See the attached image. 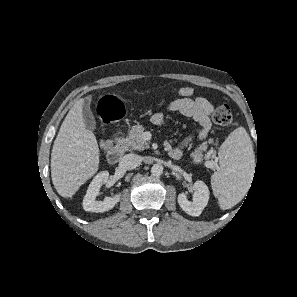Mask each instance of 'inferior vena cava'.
<instances>
[{"instance_id":"inferior-vena-cava-1","label":"inferior vena cava","mask_w":297,"mask_h":297,"mask_svg":"<svg viewBox=\"0 0 297 297\" xmlns=\"http://www.w3.org/2000/svg\"><path fill=\"white\" fill-rule=\"evenodd\" d=\"M141 162H142V157L134 153L125 155L121 160L122 166L127 169H134L138 167L141 164Z\"/></svg>"}]
</instances>
